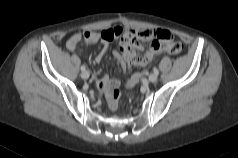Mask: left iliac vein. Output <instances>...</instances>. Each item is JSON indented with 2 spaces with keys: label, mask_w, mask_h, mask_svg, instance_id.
<instances>
[{
  "label": "left iliac vein",
  "mask_w": 238,
  "mask_h": 158,
  "mask_svg": "<svg viewBox=\"0 0 238 158\" xmlns=\"http://www.w3.org/2000/svg\"><path fill=\"white\" fill-rule=\"evenodd\" d=\"M148 79H149L150 82L154 83V82L157 81L158 76H157V74L152 73V74L149 75V78H148Z\"/></svg>",
  "instance_id": "left-iliac-vein-1"
}]
</instances>
